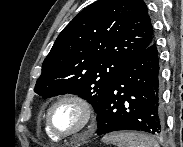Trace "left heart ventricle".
<instances>
[{"label": "left heart ventricle", "mask_w": 183, "mask_h": 147, "mask_svg": "<svg viewBox=\"0 0 183 147\" xmlns=\"http://www.w3.org/2000/svg\"><path fill=\"white\" fill-rule=\"evenodd\" d=\"M84 114L81 108L73 102H63L57 105L51 113V123L58 133H70L81 127Z\"/></svg>", "instance_id": "obj_1"}]
</instances>
